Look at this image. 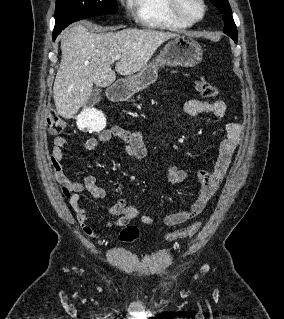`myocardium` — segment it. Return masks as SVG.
Listing matches in <instances>:
<instances>
[{
    "mask_svg": "<svg viewBox=\"0 0 284 319\" xmlns=\"http://www.w3.org/2000/svg\"><path fill=\"white\" fill-rule=\"evenodd\" d=\"M170 1V9L172 13L180 20L186 22L189 25L196 24L200 21H202L207 13V4L205 0H199L201 6H202V14L199 18L191 19L188 16L185 15V13L182 10L181 6V0H169Z\"/></svg>",
    "mask_w": 284,
    "mask_h": 319,
    "instance_id": "obj_1",
    "label": "myocardium"
}]
</instances>
